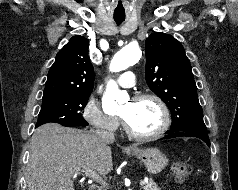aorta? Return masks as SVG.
<instances>
[{"label": "aorta", "mask_w": 238, "mask_h": 190, "mask_svg": "<svg viewBox=\"0 0 238 190\" xmlns=\"http://www.w3.org/2000/svg\"><path fill=\"white\" fill-rule=\"evenodd\" d=\"M141 50L137 43L131 42L118 51L110 65V70L119 72L127 69L139 61ZM129 96L126 92L119 90L115 81L110 80L107 84L105 94L102 98V108L106 114L118 111L120 104L126 102Z\"/></svg>", "instance_id": "1"}]
</instances>
